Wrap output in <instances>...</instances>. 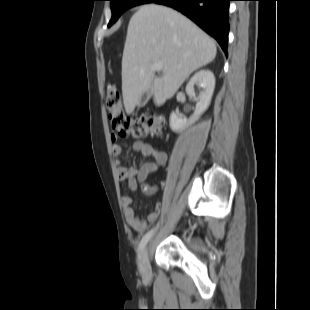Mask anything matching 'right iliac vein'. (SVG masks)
I'll return each mask as SVG.
<instances>
[{"label": "right iliac vein", "mask_w": 310, "mask_h": 310, "mask_svg": "<svg viewBox=\"0 0 310 310\" xmlns=\"http://www.w3.org/2000/svg\"><path fill=\"white\" fill-rule=\"evenodd\" d=\"M141 273L145 278H150L152 274L149 262V246H146L142 252Z\"/></svg>", "instance_id": "right-iliac-vein-1"}]
</instances>
